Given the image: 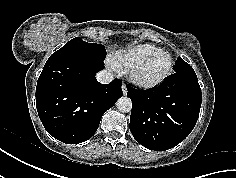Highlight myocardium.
I'll return each instance as SVG.
<instances>
[{
	"mask_svg": "<svg viewBox=\"0 0 236 178\" xmlns=\"http://www.w3.org/2000/svg\"><path fill=\"white\" fill-rule=\"evenodd\" d=\"M162 55L168 56L169 60H170L169 66H168L167 70L165 71V73H163L159 78L154 79V80H148V79L143 78L141 76V70L144 67V65L148 61L154 59L155 57L162 56ZM173 65H174V61H173L172 55L167 51H159V52L153 53V54L143 58L142 60L138 61L129 70V72H128L129 79L131 80V82L133 84H135L139 88H143V89L154 88V87L161 85L171 75L172 70H173Z\"/></svg>",
	"mask_w": 236,
	"mask_h": 178,
	"instance_id": "f54148a6",
	"label": "myocardium"
}]
</instances>
